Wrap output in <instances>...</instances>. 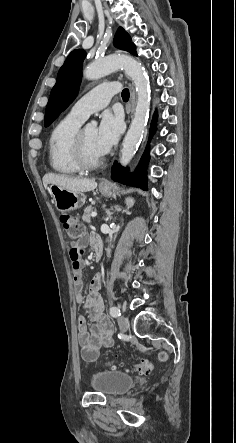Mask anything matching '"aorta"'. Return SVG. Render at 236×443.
<instances>
[{
    "label": "aorta",
    "mask_w": 236,
    "mask_h": 443,
    "mask_svg": "<svg viewBox=\"0 0 236 443\" xmlns=\"http://www.w3.org/2000/svg\"><path fill=\"white\" fill-rule=\"evenodd\" d=\"M118 68L124 69L126 74L133 80L137 92L134 118L124 138L120 157V163L126 166L133 158L142 140L149 115L151 91L144 67L130 56L112 55L87 66L84 70V77L88 80L99 79ZM91 124L93 126L97 125L95 121H92Z\"/></svg>",
    "instance_id": "aorta-1"
}]
</instances>
